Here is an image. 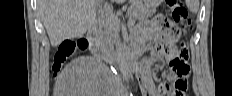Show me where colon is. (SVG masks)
I'll return each instance as SVG.
<instances>
[{
	"label": "colon",
	"instance_id": "colon-1",
	"mask_svg": "<svg viewBox=\"0 0 232 96\" xmlns=\"http://www.w3.org/2000/svg\"><path fill=\"white\" fill-rule=\"evenodd\" d=\"M167 5L170 22H175V25L180 24L182 29L187 32L191 27V22L183 3L180 0H167ZM173 36L168 35L170 38ZM86 47L87 41L85 39H80L76 42L67 40L61 43L53 58V74L57 75L59 73L64 62L74 54L76 49L84 50ZM160 50L169 59L174 73L181 75H187L189 73V66L187 64L188 49L185 42H182L178 47L165 46L164 48H160Z\"/></svg>",
	"mask_w": 232,
	"mask_h": 96
}]
</instances>
